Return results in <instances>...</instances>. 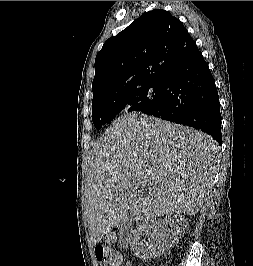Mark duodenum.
<instances>
[{"label": "duodenum", "mask_w": 253, "mask_h": 266, "mask_svg": "<svg viewBox=\"0 0 253 266\" xmlns=\"http://www.w3.org/2000/svg\"><path fill=\"white\" fill-rule=\"evenodd\" d=\"M130 232H131V228L128 226L127 228H126V230H125V233H126V237L125 238H122V239H124V240H129V238H130Z\"/></svg>", "instance_id": "obj_1"}]
</instances>
